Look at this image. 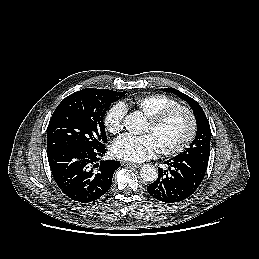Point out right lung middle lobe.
<instances>
[{
  "label": "right lung middle lobe",
  "instance_id": "dd1d6c3e",
  "mask_svg": "<svg viewBox=\"0 0 259 259\" xmlns=\"http://www.w3.org/2000/svg\"><path fill=\"white\" fill-rule=\"evenodd\" d=\"M125 94L87 88L64 98L47 128V154L63 147H103L107 141L103 122L105 113Z\"/></svg>",
  "mask_w": 259,
  "mask_h": 259
}]
</instances>
